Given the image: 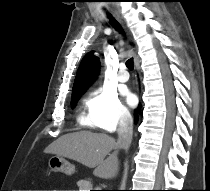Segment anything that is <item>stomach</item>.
Returning <instances> with one entry per match:
<instances>
[{"label":"stomach","mask_w":210,"mask_h":191,"mask_svg":"<svg viewBox=\"0 0 210 191\" xmlns=\"http://www.w3.org/2000/svg\"><path fill=\"white\" fill-rule=\"evenodd\" d=\"M49 167L53 172H62L66 175H72L75 172V166L68 162L62 156H52L49 159Z\"/></svg>","instance_id":"0dacf381"}]
</instances>
